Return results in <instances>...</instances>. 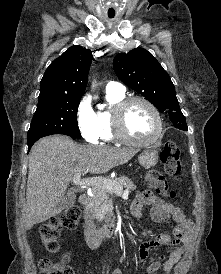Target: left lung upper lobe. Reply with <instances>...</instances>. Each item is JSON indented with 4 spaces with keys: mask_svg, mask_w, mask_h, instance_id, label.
Listing matches in <instances>:
<instances>
[{
    "mask_svg": "<svg viewBox=\"0 0 221 274\" xmlns=\"http://www.w3.org/2000/svg\"><path fill=\"white\" fill-rule=\"evenodd\" d=\"M113 67L124 84L142 94L160 112L168 113L176 128H187L174 85L150 52L136 48L129 53H119L113 60Z\"/></svg>",
    "mask_w": 221,
    "mask_h": 274,
    "instance_id": "obj_1",
    "label": "left lung upper lobe"
}]
</instances>
